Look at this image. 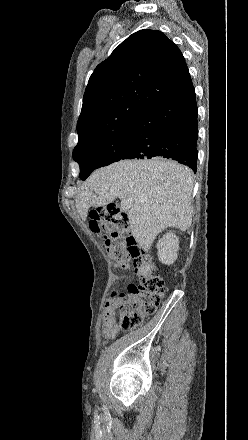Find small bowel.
<instances>
[{
  "mask_svg": "<svg viewBox=\"0 0 248 440\" xmlns=\"http://www.w3.org/2000/svg\"><path fill=\"white\" fill-rule=\"evenodd\" d=\"M103 334L107 338H111L118 332V326L116 324V307L109 301L106 304L103 324H102Z\"/></svg>",
  "mask_w": 248,
  "mask_h": 440,
  "instance_id": "c3829d8e",
  "label": "small bowel"
}]
</instances>
